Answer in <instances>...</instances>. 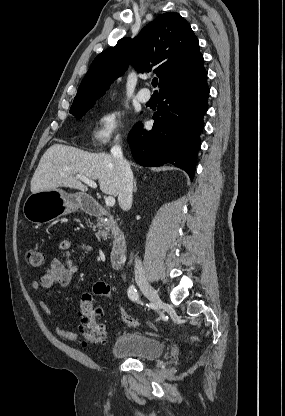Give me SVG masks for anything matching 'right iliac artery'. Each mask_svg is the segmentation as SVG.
Returning a JSON list of instances; mask_svg holds the SVG:
<instances>
[{
  "label": "right iliac artery",
  "mask_w": 285,
  "mask_h": 416,
  "mask_svg": "<svg viewBox=\"0 0 285 416\" xmlns=\"http://www.w3.org/2000/svg\"><path fill=\"white\" fill-rule=\"evenodd\" d=\"M127 293H128V297H129L132 301H135V302H137V303H141V301L139 300V295H138L137 289L135 288V286H134V285H131V286L128 288ZM141 304H142V303H141Z\"/></svg>",
  "instance_id": "1"
}]
</instances>
